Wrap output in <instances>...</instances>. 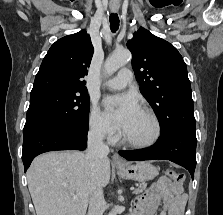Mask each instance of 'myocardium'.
Masks as SVG:
<instances>
[{"label":"myocardium","instance_id":"1","mask_svg":"<svg viewBox=\"0 0 223 215\" xmlns=\"http://www.w3.org/2000/svg\"><path fill=\"white\" fill-rule=\"evenodd\" d=\"M139 110L143 113H145L151 120L152 124H153V134L152 136L144 142H136V141H132V140H127L122 138V133H119V136L117 138V143L128 147V148H133V149H148L153 147L156 142L158 141L159 137H160V133H161V126H160V122L156 116V114L154 113V111L146 106L140 107Z\"/></svg>","mask_w":223,"mask_h":215}]
</instances>
